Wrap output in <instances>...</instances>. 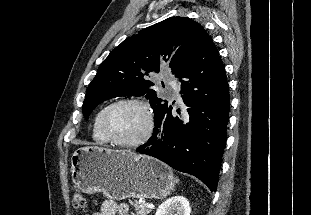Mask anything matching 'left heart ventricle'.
Instances as JSON below:
<instances>
[{
  "mask_svg": "<svg viewBox=\"0 0 311 215\" xmlns=\"http://www.w3.org/2000/svg\"><path fill=\"white\" fill-rule=\"evenodd\" d=\"M147 118L144 110L137 105L124 104L113 108L107 117L110 133L124 141L138 139L145 131Z\"/></svg>",
  "mask_w": 311,
  "mask_h": 215,
  "instance_id": "left-heart-ventricle-1",
  "label": "left heart ventricle"
}]
</instances>
